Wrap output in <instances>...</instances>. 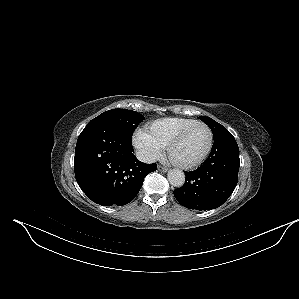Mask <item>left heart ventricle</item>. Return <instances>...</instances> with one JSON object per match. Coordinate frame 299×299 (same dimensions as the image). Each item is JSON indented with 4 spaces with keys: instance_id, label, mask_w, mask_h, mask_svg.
<instances>
[{
    "instance_id": "b2bd125f",
    "label": "left heart ventricle",
    "mask_w": 299,
    "mask_h": 299,
    "mask_svg": "<svg viewBox=\"0 0 299 299\" xmlns=\"http://www.w3.org/2000/svg\"><path fill=\"white\" fill-rule=\"evenodd\" d=\"M209 141V133L203 126H197L173 147L172 157L183 163L197 160L205 151Z\"/></svg>"
}]
</instances>
